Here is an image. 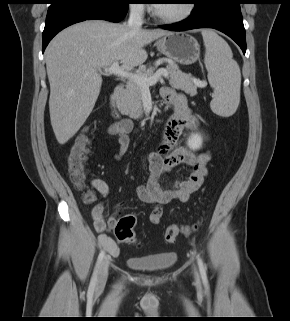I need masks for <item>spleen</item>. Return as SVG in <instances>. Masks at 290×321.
Listing matches in <instances>:
<instances>
[{"label": "spleen", "mask_w": 290, "mask_h": 321, "mask_svg": "<svg viewBox=\"0 0 290 321\" xmlns=\"http://www.w3.org/2000/svg\"><path fill=\"white\" fill-rule=\"evenodd\" d=\"M208 81L214 88L210 107L217 115H233L240 102L241 73L227 42L213 30L202 31Z\"/></svg>", "instance_id": "obj_1"}]
</instances>
